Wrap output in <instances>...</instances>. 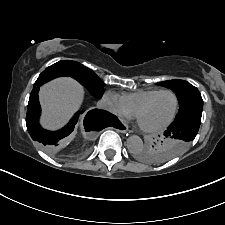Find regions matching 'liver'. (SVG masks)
<instances>
[{
	"instance_id": "1",
	"label": "liver",
	"mask_w": 225,
	"mask_h": 225,
	"mask_svg": "<svg viewBox=\"0 0 225 225\" xmlns=\"http://www.w3.org/2000/svg\"><path fill=\"white\" fill-rule=\"evenodd\" d=\"M83 96V87L71 78H58L44 85L39 92L43 126L54 129L63 125L81 105Z\"/></svg>"
}]
</instances>
